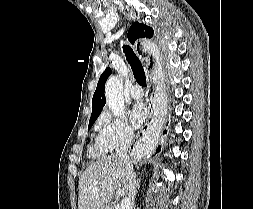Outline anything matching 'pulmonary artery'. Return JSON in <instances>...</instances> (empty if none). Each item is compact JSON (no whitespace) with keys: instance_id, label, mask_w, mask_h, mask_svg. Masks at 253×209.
<instances>
[{"instance_id":"pulmonary-artery-1","label":"pulmonary artery","mask_w":253,"mask_h":209,"mask_svg":"<svg viewBox=\"0 0 253 209\" xmlns=\"http://www.w3.org/2000/svg\"><path fill=\"white\" fill-rule=\"evenodd\" d=\"M130 95L134 99H141L144 95L142 88L139 85H133L130 90Z\"/></svg>"}]
</instances>
